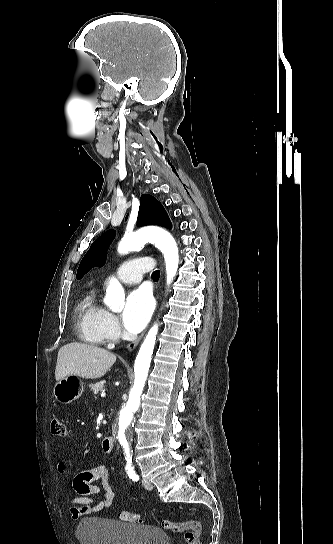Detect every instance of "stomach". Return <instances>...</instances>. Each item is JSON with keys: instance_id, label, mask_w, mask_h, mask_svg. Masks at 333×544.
Wrapping results in <instances>:
<instances>
[{"instance_id": "1", "label": "stomach", "mask_w": 333, "mask_h": 544, "mask_svg": "<svg viewBox=\"0 0 333 544\" xmlns=\"http://www.w3.org/2000/svg\"><path fill=\"white\" fill-rule=\"evenodd\" d=\"M83 391L84 386L81 379L69 375L57 381L53 389V394L58 402L70 404L80 398Z\"/></svg>"}]
</instances>
